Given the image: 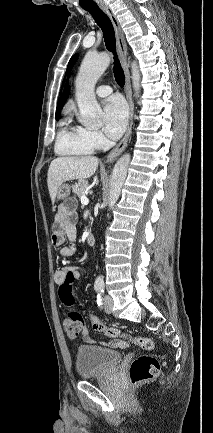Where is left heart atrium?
<instances>
[{
    "label": "left heart atrium",
    "mask_w": 213,
    "mask_h": 433,
    "mask_svg": "<svg viewBox=\"0 0 213 433\" xmlns=\"http://www.w3.org/2000/svg\"><path fill=\"white\" fill-rule=\"evenodd\" d=\"M127 117L128 111L124 101L118 96L109 98L102 113L103 129L107 136L112 139L119 138L126 128Z\"/></svg>",
    "instance_id": "obj_1"
}]
</instances>
